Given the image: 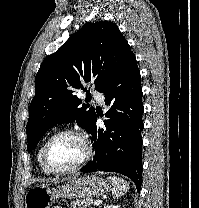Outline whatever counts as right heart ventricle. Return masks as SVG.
<instances>
[{"mask_svg": "<svg viewBox=\"0 0 199 208\" xmlns=\"http://www.w3.org/2000/svg\"><path fill=\"white\" fill-rule=\"evenodd\" d=\"M46 141H47V138H45L39 146V149L37 151V161L43 173L49 175V174H52V172L45 166L44 161H43V147Z\"/></svg>", "mask_w": 199, "mask_h": 208, "instance_id": "1", "label": "right heart ventricle"}]
</instances>
